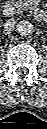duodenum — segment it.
I'll use <instances>...</instances> for the list:
<instances>
[{"label":"duodenum","instance_id":"410a0bca","mask_svg":"<svg viewBox=\"0 0 47 129\" xmlns=\"http://www.w3.org/2000/svg\"><path fill=\"white\" fill-rule=\"evenodd\" d=\"M2 9L3 13L8 17H14L18 13L17 8L11 2H6ZM34 14L38 19H44L46 17V13L41 8H35Z\"/></svg>","mask_w":47,"mask_h":129}]
</instances>
